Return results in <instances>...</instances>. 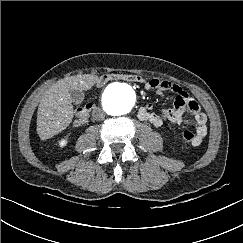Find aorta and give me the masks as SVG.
Masks as SVG:
<instances>
[{"instance_id": "aorta-1", "label": "aorta", "mask_w": 243, "mask_h": 243, "mask_svg": "<svg viewBox=\"0 0 243 243\" xmlns=\"http://www.w3.org/2000/svg\"><path fill=\"white\" fill-rule=\"evenodd\" d=\"M131 90V86L124 83L110 84L104 91L102 103L112 115L127 114L133 107Z\"/></svg>"}]
</instances>
